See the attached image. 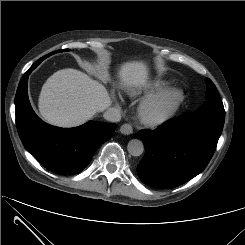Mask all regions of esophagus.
Listing matches in <instances>:
<instances>
[{"label":"esophagus","mask_w":245,"mask_h":245,"mask_svg":"<svg viewBox=\"0 0 245 245\" xmlns=\"http://www.w3.org/2000/svg\"><path fill=\"white\" fill-rule=\"evenodd\" d=\"M120 132L125 135H130L133 133V127L129 123H125L120 127Z\"/></svg>","instance_id":"esophagus-1"}]
</instances>
